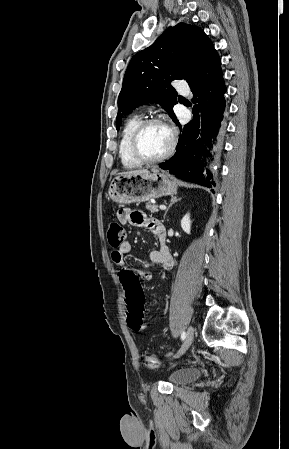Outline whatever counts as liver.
Masks as SVG:
<instances>
[{"instance_id": "liver-1", "label": "liver", "mask_w": 289, "mask_h": 449, "mask_svg": "<svg viewBox=\"0 0 289 449\" xmlns=\"http://www.w3.org/2000/svg\"><path fill=\"white\" fill-rule=\"evenodd\" d=\"M147 173H149V171L147 169H139V170L123 172L120 175H139V174H147Z\"/></svg>"}]
</instances>
